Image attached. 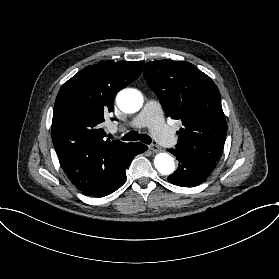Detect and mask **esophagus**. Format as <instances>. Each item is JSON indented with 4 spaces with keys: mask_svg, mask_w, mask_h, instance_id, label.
Masks as SVG:
<instances>
[{
    "mask_svg": "<svg viewBox=\"0 0 279 279\" xmlns=\"http://www.w3.org/2000/svg\"><path fill=\"white\" fill-rule=\"evenodd\" d=\"M148 148L154 153H158L161 151V149L155 144L149 145Z\"/></svg>",
    "mask_w": 279,
    "mask_h": 279,
    "instance_id": "esophagus-1",
    "label": "esophagus"
}]
</instances>
